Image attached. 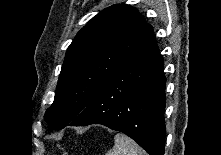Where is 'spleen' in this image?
Returning <instances> with one entry per match:
<instances>
[{"label": "spleen", "instance_id": "spleen-1", "mask_svg": "<svg viewBox=\"0 0 221 155\" xmlns=\"http://www.w3.org/2000/svg\"><path fill=\"white\" fill-rule=\"evenodd\" d=\"M105 155H146L138 144L122 133L114 136V146Z\"/></svg>", "mask_w": 221, "mask_h": 155}]
</instances>
